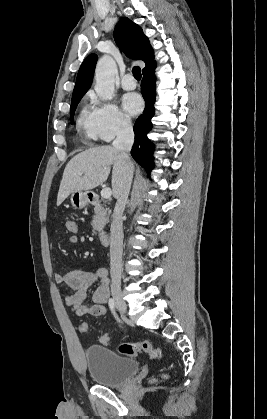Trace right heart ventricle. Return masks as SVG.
Returning <instances> with one entry per match:
<instances>
[{"mask_svg":"<svg viewBox=\"0 0 267 419\" xmlns=\"http://www.w3.org/2000/svg\"><path fill=\"white\" fill-rule=\"evenodd\" d=\"M78 131L87 139L99 138L97 132L96 112L94 108L84 105L77 118Z\"/></svg>","mask_w":267,"mask_h":419,"instance_id":"obj_1","label":"right heart ventricle"}]
</instances>
